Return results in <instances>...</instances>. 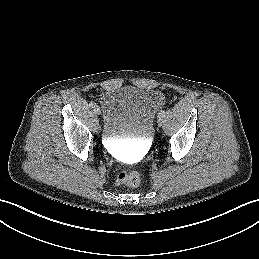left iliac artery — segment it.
Wrapping results in <instances>:
<instances>
[{"label": "left iliac artery", "mask_w": 259, "mask_h": 259, "mask_svg": "<svg viewBox=\"0 0 259 259\" xmlns=\"http://www.w3.org/2000/svg\"><path fill=\"white\" fill-rule=\"evenodd\" d=\"M165 114H166L165 110H161V111L158 113V118L164 117Z\"/></svg>", "instance_id": "44dca946"}]
</instances>
